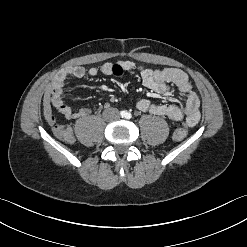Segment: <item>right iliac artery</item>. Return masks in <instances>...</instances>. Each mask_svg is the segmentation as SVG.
<instances>
[{
	"label": "right iliac artery",
	"mask_w": 247,
	"mask_h": 247,
	"mask_svg": "<svg viewBox=\"0 0 247 247\" xmlns=\"http://www.w3.org/2000/svg\"><path fill=\"white\" fill-rule=\"evenodd\" d=\"M120 115H121V117H125L126 116V112L125 111H121Z\"/></svg>",
	"instance_id": "82829eb1"
}]
</instances>
